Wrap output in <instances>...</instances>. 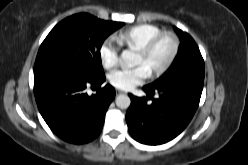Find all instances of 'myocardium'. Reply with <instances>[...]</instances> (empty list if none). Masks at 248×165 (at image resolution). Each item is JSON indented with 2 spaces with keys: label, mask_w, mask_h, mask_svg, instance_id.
<instances>
[{
  "label": "myocardium",
  "mask_w": 248,
  "mask_h": 165,
  "mask_svg": "<svg viewBox=\"0 0 248 165\" xmlns=\"http://www.w3.org/2000/svg\"><path fill=\"white\" fill-rule=\"evenodd\" d=\"M164 40H168L170 42V52L166 60L151 72L152 77H158L162 75L174 63L179 53V39L173 33H161L150 39L143 47L139 49V52L141 54L149 56L154 51V49Z\"/></svg>",
  "instance_id": "1"
}]
</instances>
